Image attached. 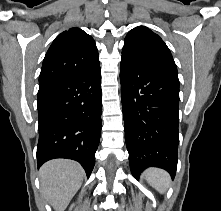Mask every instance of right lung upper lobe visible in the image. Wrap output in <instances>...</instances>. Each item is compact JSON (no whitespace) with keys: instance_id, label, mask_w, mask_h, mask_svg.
Wrapping results in <instances>:
<instances>
[{"instance_id":"obj_1","label":"right lung upper lobe","mask_w":221,"mask_h":211,"mask_svg":"<svg viewBox=\"0 0 221 211\" xmlns=\"http://www.w3.org/2000/svg\"><path fill=\"white\" fill-rule=\"evenodd\" d=\"M100 65L91 36L79 28L59 34L48 49L39 76V86L85 72Z\"/></svg>"}]
</instances>
